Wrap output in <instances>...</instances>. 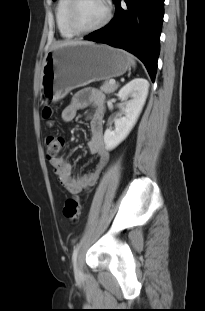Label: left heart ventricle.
I'll return each mask as SVG.
<instances>
[{"label": "left heart ventricle", "instance_id": "b2bd125f", "mask_svg": "<svg viewBox=\"0 0 205 311\" xmlns=\"http://www.w3.org/2000/svg\"><path fill=\"white\" fill-rule=\"evenodd\" d=\"M106 14L103 0H79L76 8V21L81 28H91L99 24Z\"/></svg>", "mask_w": 205, "mask_h": 311}]
</instances>
